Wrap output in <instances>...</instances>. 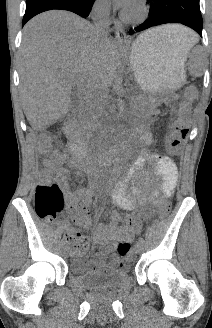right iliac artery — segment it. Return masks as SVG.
Returning a JSON list of instances; mask_svg holds the SVG:
<instances>
[{
    "instance_id": "right-iliac-artery-1",
    "label": "right iliac artery",
    "mask_w": 212,
    "mask_h": 328,
    "mask_svg": "<svg viewBox=\"0 0 212 328\" xmlns=\"http://www.w3.org/2000/svg\"><path fill=\"white\" fill-rule=\"evenodd\" d=\"M65 243H66V242H65L64 240H62V241H61V246H64Z\"/></svg>"
}]
</instances>
